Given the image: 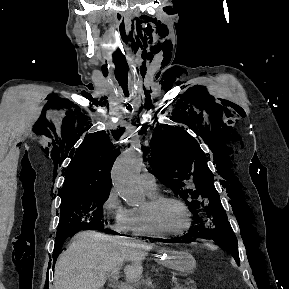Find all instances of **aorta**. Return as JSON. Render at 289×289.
Returning a JSON list of instances; mask_svg holds the SVG:
<instances>
[{
	"mask_svg": "<svg viewBox=\"0 0 289 289\" xmlns=\"http://www.w3.org/2000/svg\"><path fill=\"white\" fill-rule=\"evenodd\" d=\"M143 163L139 142H133L116 160L112 168V183L129 206H140L145 200L138 177Z\"/></svg>",
	"mask_w": 289,
	"mask_h": 289,
	"instance_id": "1",
	"label": "aorta"
}]
</instances>
